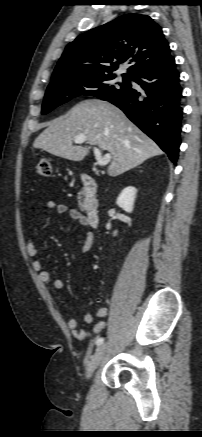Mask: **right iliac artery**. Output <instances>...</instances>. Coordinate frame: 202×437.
Here are the masks:
<instances>
[{
    "instance_id": "right-iliac-artery-1",
    "label": "right iliac artery",
    "mask_w": 202,
    "mask_h": 437,
    "mask_svg": "<svg viewBox=\"0 0 202 437\" xmlns=\"http://www.w3.org/2000/svg\"><path fill=\"white\" fill-rule=\"evenodd\" d=\"M103 342H104V338L99 337V338H97V340H96V345H97V346H100L101 344H103Z\"/></svg>"
}]
</instances>
